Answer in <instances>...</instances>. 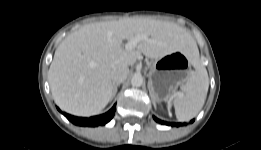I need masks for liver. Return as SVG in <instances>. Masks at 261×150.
Segmentation results:
<instances>
[{"label": "liver", "instance_id": "1", "mask_svg": "<svg viewBox=\"0 0 261 150\" xmlns=\"http://www.w3.org/2000/svg\"><path fill=\"white\" fill-rule=\"evenodd\" d=\"M147 35L136 49L123 46L124 39ZM195 42L172 22L146 18H123L82 26L57 47L48 71L56 104L76 116L100 113L112 97L111 71L131 66L141 56L158 59L175 51L191 59Z\"/></svg>", "mask_w": 261, "mask_h": 150}]
</instances>
